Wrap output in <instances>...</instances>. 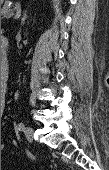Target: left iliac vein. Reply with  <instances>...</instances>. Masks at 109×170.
Returning a JSON list of instances; mask_svg holds the SVG:
<instances>
[{
  "label": "left iliac vein",
  "mask_w": 109,
  "mask_h": 170,
  "mask_svg": "<svg viewBox=\"0 0 109 170\" xmlns=\"http://www.w3.org/2000/svg\"><path fill=\"white\" fill-rule=\"evenodd\" d=\"M24 134H25V136H26V138H27V140H28L29 142H32V141H33L34 135H33V129H32V127H30V126L26 127V128L24 129Z\"/></svg>",
  "instance_id": "obj_1"
}]
</instances>
